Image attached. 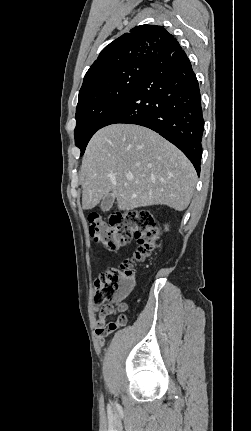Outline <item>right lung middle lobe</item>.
<instances>
[{
    "mask_svg": "<svg viewBox=\"0 0 251 431\" xmlns=\"http://www.w3.org/2000/svg\"><path fill=\"white\" fill-rule=\"evenodd\" d=\"M147 63L130 64L79 92L76 108L75 144L83 155L94 133L137 88Z\"/></svg>",
    "mask_w": 251,
    "mask_h": 431,
    "instance_id": "right-lung-middle-lobe-1",
    "label": "right lung middle lobe"
}]
</instances>
